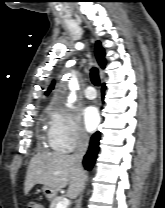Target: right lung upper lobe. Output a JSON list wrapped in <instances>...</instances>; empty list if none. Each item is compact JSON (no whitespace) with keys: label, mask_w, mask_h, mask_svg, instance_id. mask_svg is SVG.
<instances>
[{"label":"right lung upper lobe","mask_w":165,"mask_h":208,"mask_svg":"<svg viewBox=\"0 0 165 208\" xmlns=\"http://www.w3.org/2000/svg\"><path fill=\"white\" fill-rule=\"evenodd\" d=\"M95 55H96V58H97V61L99 63V65L104 68L105 64H106V61H105V54H104V49L102 48L101 46V43L98 41L96 43V46H95ZM54 88V82L50 85V87L48 88V90L46 91V94H49V92Z\"/></svg>","instance_id":"1"}]
</instances>
